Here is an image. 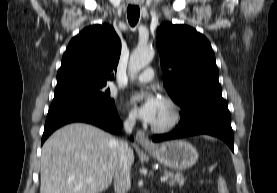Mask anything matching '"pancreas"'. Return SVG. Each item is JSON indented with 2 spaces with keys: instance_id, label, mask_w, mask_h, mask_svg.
I'll list each match as a JSON object with an SVG mask.
<instances>
[{
  "instance_id": "obj_1",
  "label": "pancreas",
  "mask_w": 277,
  "mask_h": 193,
  "mask_svg": "<svg viewBox=\"0 0 277 193\" xmlns=\"http://www.w3.org/2000/svg\"><path fill=\"white\" fill-rule=\"evenodd\" d=\"M164 176H167L169 178V185L170 186H183L185 183V178L180 174H174L172 172L165 171Z\"/></svg>"
}]
</instances>
